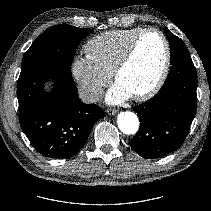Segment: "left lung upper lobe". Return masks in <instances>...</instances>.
Masks as SVG:
<instances>
[{
    "label": "left lung upper lobe",
    "mask_w": 211,
    "mask_h": 211,
    "mask_svg": "<svg viewBox=\"0 0 211 211\" xmlns=\"http://www.w3.org/2000/svg\"><path fill=\"white\" fill-rule=\"evenodd\" d=\"M164 30L170 43V64L175 63L180 58L190 57L184 42L171 33L168 28L165 27Z\"/></svg>",
    "instance_id": "5c2ea615"
}]
</instances>
